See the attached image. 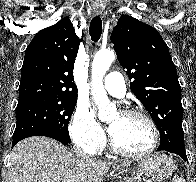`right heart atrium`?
<instances>
[{
    "label": "right heart atrium",
    "instance_id": "1",
    "mask_svg": "<svg viewBox=\"0 0 196 182\" xmlns=\"http://www.w3.org/2000/svg\"><path fill=\"white\" fill-rule=\"evenodd\" d=\"M69 132L73 142L86 152L96 153L105 145V133L87 105H77Z\"/></svg>",
    "mask_w": 196,
    "mask_h": 182
}]
</instances>
